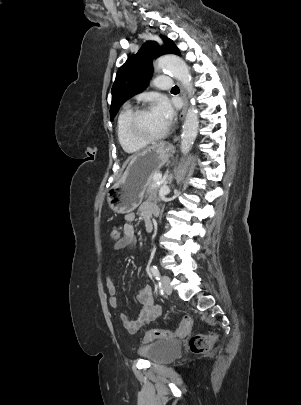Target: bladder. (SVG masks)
<instances>
[{"mask_svg": "<svg viewBox=\"0 0 301 405\" xmlns=\"http://www.w3.org/2000/svg\"><path fill=\"white\" fill-rule=\"evenodd\" d=\"M181 352V343L170 339H157L146 343L138 349V353L152 363L166 364Z\"/></svg>", "mask_w": 301, "mask_h": 405, "instance_id": "31cf9c89", "label": "bladder"}]
</instances>
